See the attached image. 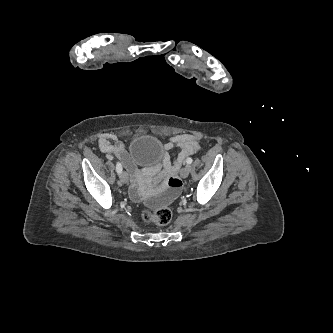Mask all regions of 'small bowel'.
I'll return each instance as SVG.
<instances>
[{
	"instance_id": "c3829d8e",
	"label": "small bowel",
	"mask_w": 333,
	"mask_h": 333,
	"mask_svg": "<svg viewBox=\"0 0 333 333\" xmlns=\"http://www.w3.org/2000/svg\"><path fill=\"white\" fill-rule=\"evenodd\" d=\"M100 150L105 153L108 158L115 157L119 159L125 166L130 176V196L135 201H140L146 197L144 188L145 182L149 178V174L139 169L135 163L128 157L124 144L115 134L104 133L98 139ZM179 148V153L173 160L169 157L167 151ZM165 153L162 161L156 166L161 169V178L164 181H170V190L166 194V198L170 199L176 195L181 186V181L177 177L182 165L190 155L196 153L200 149L198 138L193 134H178L171 136L164 143Z\"/></svg>"
}]
</instances>
